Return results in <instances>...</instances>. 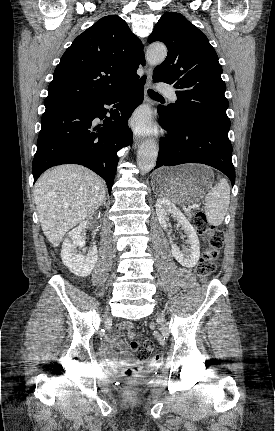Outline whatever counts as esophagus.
<instances>
[{"label": "esophagus", "instance_id": "1", "mask_svg": "<svg viewBox=\"0 0 275 431\" xmlns=\"http://www.w3.org/2000/svg\"><path fill=\"white\" fill-rule=\"evenodd\" d=\"M146 74V82H145V95H144V100H147V90L151 87V83H152V68H148L145 72ZM142 142V139L138 136L134 137L133 140V144L134 147L137 148Z\"/></svg>", "mask_w": 275, "mask_h": 431}]
</instances>
